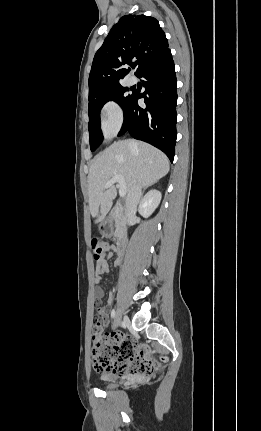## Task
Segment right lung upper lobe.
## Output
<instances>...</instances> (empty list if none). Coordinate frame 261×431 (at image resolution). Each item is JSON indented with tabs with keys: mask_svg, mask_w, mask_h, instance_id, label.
Listing matches in <instances>:
<instances>
[{
	"mask_svg": "<svg viewBox=\"0 0 261 431\" xmlns=\"http://www.w3.org/2000/svg\"><path fill=\"white\" fill-rule=\"evenodd\" d=\"M167 48L165 33L155 18L123 16L94 56L89 75V95L120 84L130 70L125 69V65H137V74Z\"/></svg>",
	"mask_w": 261,
	"mask_h": 431,
	"instance_id": "1",
	"label": "right lung upper lobe"
}]
</instances>
